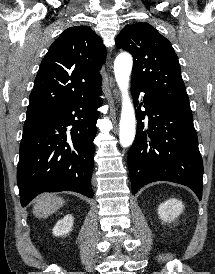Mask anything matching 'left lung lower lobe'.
Listing matches in <instances>:
<instances>
[{
  "label": "left lung lower lobe",
  "mask_w": 215,
  "mask_h": 274,
  "mask_svg": "<svg viewBox=\"0 0 215 274\" xmlns=\"http://www.w3.org/2000/svg\"><path fill=\"white\" fill-rule=\"evenodd\" d=\"M141 91L146 111L136 110V139L128 154L133 194L148 183L170 181L188 186L201 200L203 162L190 106L132 83L135 106Z\"/></svg>",
  "instance_id": "0a47b994"
}]
</instances>
